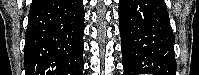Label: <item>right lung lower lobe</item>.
I'll return each mask as SVG.
<instances>
[{
    "label": "right lung lower lobe",
    "instance_id": "obj_1",
    "mask_svg": "<svg viewBox=\"0 0 199 75\" xmlns=\"http://www.w3.org/2000/svg\"><path fill=\"white\" fill-rule=\"evenodd\" d=\"M25 34L26 75H82V0H33Z\"/></svg>",
    "mask_w": 199,
    "mask_h": 75
}]
</instances>
